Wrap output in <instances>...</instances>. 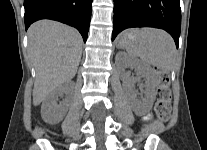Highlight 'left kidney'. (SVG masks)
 Instances as JSON below:
<instances>
[{"mask_svg": "<svg viewBox=\"0 0 207 150\" xmlns=\"http://www.w3.org/2000/svg\"><path fill=\"white\" fill-rule=\"evenodd\" d=\"M116 61L122 68L121 76L125 80L126 94L130 100L131 107L134 113L138 116H143L147 114L151 110L155 98L156 78H155L154 71L149 65L123 52H120L116 55ZM128 66L134 68L137 74L145 78L146 80L145 91H144L145 96L141 100L138 99L134 94V91L130 87L129 77L124 72V68Z\"/></svg>", "mask_w": 207, "mask_h": 150, "instance_id": "left-kidney-1", "label": "left kidney"}]
</instances>
